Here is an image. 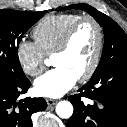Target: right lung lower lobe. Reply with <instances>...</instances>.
Here are the masks:
<instances>
[{"instance_id": "1", "label": "right lung lower lobe", "mask_w": 127, "mask_h": 127, "mask_svg": "<svg viewBox=\"0 0 127 127\" xmlns=\"http://www.w3.org/2000/svg\"><path fill=\"white\" fill-rule=\"evenodd\" d=\"M30 85L27 78L16 81L0 76V127H32L31 115L46 109L47 103L43 98L17 101Z\"/></svg>"}]
</instances>
